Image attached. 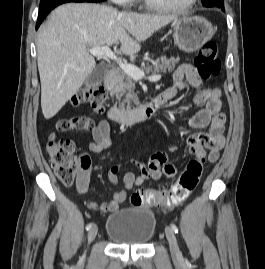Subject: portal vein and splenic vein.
<instances>
[{"label":"portal vein and splenic vein","mask_w":265,"mask_h":269,"mask_svg":"<svg viewBox=\"0 0 265 269\" xmlns=\"http://www.w3.org/2000/svg\"><path fill=\"white\" fill-rule=\"evenodd\" d=\"M89 52L91 55L96 57H106L111 60L116 61V63L119 65V67L131 78L134 80H140L145 78L144 72L140 70L138 67L132 64L123 63L121 60L117 58L115 53L111 51V49L108 46H102V47H94L89 49ZM150 82H157L161 79V75H154L147 78Z\"/></svg>","instance_id":"1"}]
</instances>
